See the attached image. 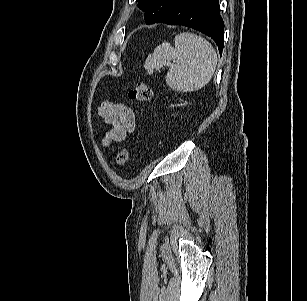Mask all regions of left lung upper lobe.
Here are the masks:
<instances>
[{"label":"left lung upper lobe","instance_id":"obj_1","mask_svg":"<svg viewBox=\"0 0 307 301\" xmlns=\"http://www.w3.org/2000/svg\"><path fill=\"white\" fill-rule=\"evenodd\" d=\"M139 7L145 11V20L147 24L157 22L161 17L167 14L179 0H137Z\"/></svg>","mask_w":307,"mask_h":301}]
</instances>
